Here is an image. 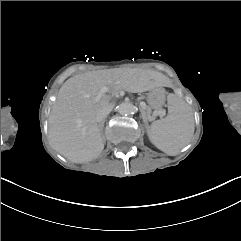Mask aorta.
I'll return each mask as SVG.
<instances>
[{
    "instance_id": "762f6f07",
    "label": "aorta",
    "mask_w": 241,
    "mask_h": 241,
    "mask_svg": "<svg viewBox=\"0 0 241 241\" xmlns=\"http://www.w3.org/2000/svg\"><path fill=\"white\" fill-rule=\"evenodd\" d=\"M134 111L135 106L130 102H123L118 106V112L124 116L132 115Z\"/></svg>"
}]
</instances>
